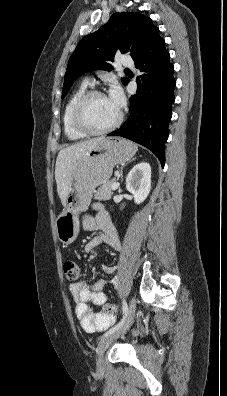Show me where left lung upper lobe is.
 <instances>
[{"label":"left lung upper lobe","instance_id":"1","mask_svg":"<svg viewBox=\"0 0 227 396\" xmlns=\"http://www.w3.org/2000/svg\"><path fill=\"white\" fill-rule=\"evenodd\" d=\"M159 38V29L145 15L139 12L114 13L108 23L77 45L68 62L62 98L83 73L97 69L110 71L112 66L109 62L114 61L116 53H129L135 59L141 50L143 53ZM122 82L126 84L128 79L123 78Z\"/></svg>","mask_w":227,"mask_h":396}]
</instances>
